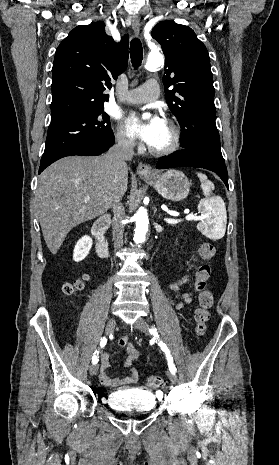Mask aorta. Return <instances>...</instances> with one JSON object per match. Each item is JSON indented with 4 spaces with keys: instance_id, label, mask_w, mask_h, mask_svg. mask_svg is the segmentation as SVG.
I'll return each mask as SVG.
<instances>
[{
    "instance_id": "aorta-1",
    "label": "aorta",
    "mask_w": 279,
    "mask_h": 465,
    "mask_svg": "<svg viewBox=\"0 0 279 465\" xmlns=\"http://www.w3.org/2000/svg\"><path fill=\"white\" fill-rule=\"evenodd\" d=\"M163 63V58L160 54H150L147 60L146 68L152 69L156 65ZM136 221V228L134 234V242L136 244L142 243L146 239V234L148 232V215L147 211L144 208H140L134 215Z\"/></svg>"
}]
</instances>
